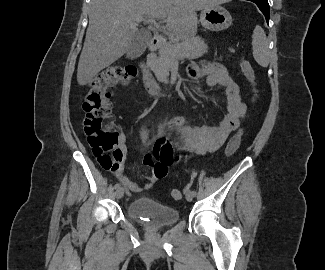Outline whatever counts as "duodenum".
<instances>
[{
    "mask_svg": "<svg viewBox=\"0 0 325 270\" xmlns=\"http://www.w3.org/2000/svg\"><path fill=\"white\" fill-rule=\"evenodd\" d=\"M163 42V36L160 34L153 35L149 44V53L147 59L141 64L144 85L152 93H157V87L154 83V79L150 71V65L155 61V53L162 46Z\"/></svg>",
    "mask_w": 325,
    "mask_h": 270,
    "instance_id": "410a0bca",
    "label": "duodenum"
}]
</instances>
